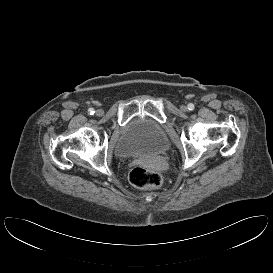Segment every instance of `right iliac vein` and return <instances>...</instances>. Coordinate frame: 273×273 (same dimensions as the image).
<instances>
[{"label": "right iliac vein", "mask_w": 273, "mask_h": 273, "mask_svg": "<svg viewBox=\"0 0 273 273\" xmlns=\"http://www.w3.org/2000/svg\"><path fill=\"white\" fill-rule=\"evenodd\" d=\"M103 110L102 109H98L97 111H96V114L98 115V116H102L103 115Z\"/></svg>", "instance_id": "right-iliac-vein-1"}]
</instances>
